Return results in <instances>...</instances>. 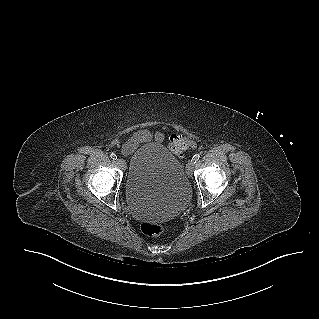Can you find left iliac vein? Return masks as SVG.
<instances>
[{
	"mask_svg": "<svg viewBox=\"0 0 319 319\" xmlns=\"http://www.w3.org/2000/svg\"><path fill=\"white\" fill-rule=\"evenodd\" d=\"M194 165L195 163L192 160L189 161L188 164L186 165V173L189 177L192 176Z\"/></svg>",
	"mask_w": 319,
	"mask_h": 319,
	"instance_id": "left-iliac-vein-1",
	"label": "left iliac vein"
}]
</instances>
